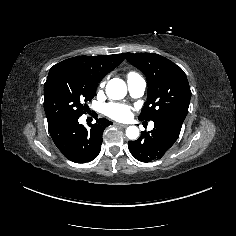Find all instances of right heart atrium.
I'll return each mask as SVG.
<instances>
[{
  "mask_svg": "<svg viewBox=\"0 0 236 236\" xmlns=\"http://www.w3.org/2000/svg\"><path fill=\"white\" fill-rule=\"evenodd\" d=\"M103 86H104V83H101L99 89H101Z\"/></svg>",
  "mask_w": 236,
  "mask_h": 236,
  "instance_id": "d8ad5b80",
  "label": "right heart atrium"
}]
</instances>
